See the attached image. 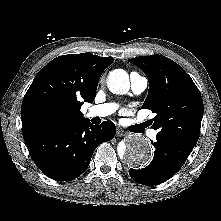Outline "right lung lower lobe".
Segmentation results:
<instances>
[{
  "instance_id": "obj_1",
  "label": "right lung lower lobe",
  "mask_w": 221,
  "mask_h": 221,
  "mask_svg": "<svg viewBox=\"0 0 221 221\" xmlns=\"http://www.w3.org/2000/svg\"><path fill=\"white\" fill-rule=\"evenodd\" d=\"M116 127L105 121H89L58 127L25 137L30 155L38 168L57 181H70L88 167L91 156L101 143L114 138Z\"/></svg>"
}]
</instances>
